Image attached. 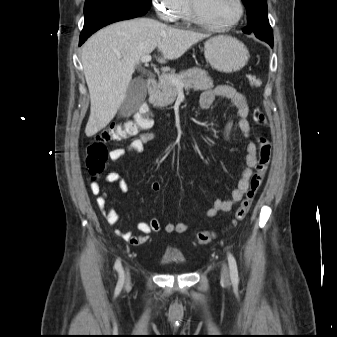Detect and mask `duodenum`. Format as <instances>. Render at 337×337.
Masks as SVG:
<instances>
[{
  "label": "duodenum",
  "instance_id": "410a0bca",
  "mask_svg": "<svg viewBox=\"0 0 337 337\" xmlns=\"http://www.w3.org/2000/svg\"><path fill=\"white\" fill-rule=\"evenodd\" d=\"M146 83L149 90H154L158 83L157 77L155 75H149L146 79Z\"/></svg>",
  "mask_w": 337,
  "mask_h": 337
}]
</instances>
